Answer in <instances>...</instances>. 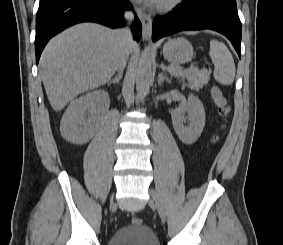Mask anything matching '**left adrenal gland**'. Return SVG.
Masks as SVG:
<instances>
[{
    "instance_id": "obj_1",
    "label": "left adrenal gland",
    "mask_w": 283,
    "mask_h": 245,
    "mask_svg": "<svg viewBox=\"0 0 283 245\" xmlns=\"http://www.w3.org/2000/svg\"><path fill=\"white\" fill-rule=\"evenodd\" d=\"M164 81H166L168 83H171L170 78H168L167 76H164L163 73L161 72L158 75V84H159V86H161Z\"/></svg>"
}]
</instances>
